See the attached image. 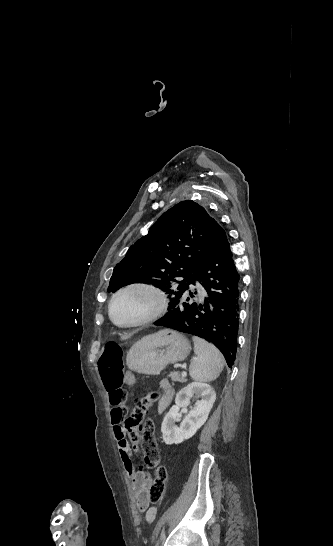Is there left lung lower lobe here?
<instances>
[{
    "label": "left lung lower lobe",
    "instance_id": "1",
    "mask_svg": "<svg viewBox=\"0 0 333 546\" xmlns=\"http://www.w3.org/2000/svg\"><path fill=\"white\" fill-rule=\"evenodd\" d=\"M200 282L205 302L193 300L189 285ZM173 307L155 325L192 334L212 342L232 367L237 350L239 274L226 233L218 224L211 246L190 276L187 288L171 300Z\"/></svg>",
    "mask_w": 333,
    "mask_h": 546
}]
</instances>
